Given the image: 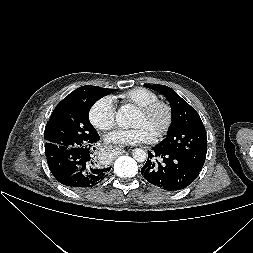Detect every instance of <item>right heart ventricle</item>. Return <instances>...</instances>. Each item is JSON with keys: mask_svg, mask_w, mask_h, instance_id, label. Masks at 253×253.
Listing matches in <instances>:
<instances>
[{"mask_svg": "<svg viewBox=\"0 0 253 253\" xmlns=\"http://www.w3.org/2000/svg\"><path fill=\"white\" fill-rule=\"evenodd\" d=\"M121 98L125 104L132 105L136 108L159 99L155 92L143 87H136L128 90L121 95Z\"/></svg>", "mask_w": 253, "mask_h": 253, "instance_id": "e07e8e85", "label": "right heart ventricle"}]
</instances>
